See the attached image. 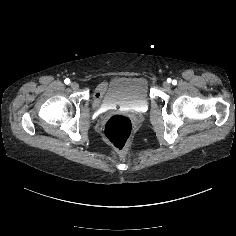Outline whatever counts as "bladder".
Masks as SVG:
<instances>
[{"label": "bladder", "instance_id": "bladder-1", "mask_svg": "<svg viewBox=\"0 0 236 236\" xmlns=\"http://www.w3.org/2000/svg\"><path fill=\"white\" fill-rule=\"evenodd\" d=\"M147 82L140 77L118 76L103 87V101L119 106L147 103Z\"/></svg>", "mask_w": 236, "mask_h": 236}]
</instances>
